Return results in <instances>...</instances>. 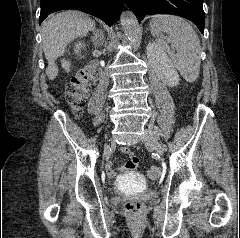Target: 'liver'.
Segmentation results:
<instances>
[{"label": "liver", "instance_id": "1", "mask_svg": "<svg viewBox=\"0 0 240 238\" xmlns=\"http://www.w3.org/2000/svg\"><path fill=\"white\" fill-rule=\"evenodd\" d=\"M94 27L95 22L78 11L59 13L43 23L42 45L48 61L46 75L49 79L53 80L58 75L55 61L64 54L67 44L77 37L86 36ZM61 64L68 73L70 62L62 60Z\"/></svg>", "mask_w": 240, "mask_h": 238}]
</instances>
